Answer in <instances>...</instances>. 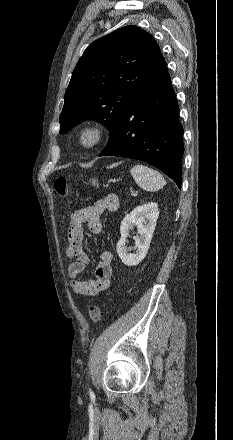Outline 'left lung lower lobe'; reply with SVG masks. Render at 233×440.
Here are the masks:
<instances>
[{
  "label": "left lung lower lobe",
  "mask_w": 233,
  "mask_h": 440,
  "mask_svg": "<svg viewBox=\"0 0 233 440\" xmlns=\"http://www.w3.org/2000/svg\"><path fill=\"white\" fill-rule=\"evenodd\" d=\"M179 106L161 55L129 103L119 130L100 156L145 161L162 170L181 188L184 152Z\"/></svg>",
  "instance_id": "0a47b994"
}]
</instances>
